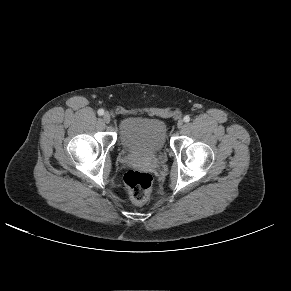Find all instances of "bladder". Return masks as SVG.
<instances>
[{"label": "bladder", "mask_w": 291, "mask_h": 291, "mask_svg": "<svg viewBox=\"0 0 291 291\" xmlns=\"http://www.w3.org/2000/svg\"><path fill=\"white\" fill-rule=\"evenodd\" d=\"M118 138L129 152L158 153L167 142V125L157 117L128 116L120 122Z\"/></svg>", "instance_id": "1"}]
</instances>
